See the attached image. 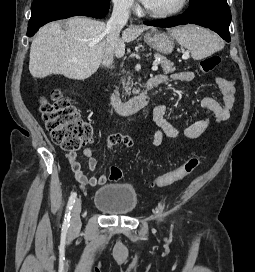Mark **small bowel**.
Returning <instances> with one entry per match:
<instances>
[{"label":"small bowel","instance_id":"1","mask_svg":"<svg viewBox=\"0 0 255 272\" xmlns=\"http://www.w3.org/2000/svg\"><path fill=\"white\" fill-rule=\"evenodd\" d=\"M159 84L166 81H178V82H190L194 79V73L192 71H180L167 74H157L154 76ZM216 84L219 87L222 94V103L211 97H205L201 100V105L205 109L209 110L212 114L213 119L217 122H223L230 117V113L235 103V86L232 80L225 79L223 77L216 78ZM168 107L166 105H158L153 109L152 119L157 125L158 129L154 133L152 144L158 147L162 144L164 138L173 139L179 135V131L167 120L166 115ZM211 118L205 117L195 121L183 130V135L190 139H196L200 137L211 124ZM107 147L112 149L116 145H123L126 148H131L133 140L130 136L123 135L120 133L111 134L107 138ZM83 155L88 158V168L93 171L97 166V161L93 157V150L90 147L83 149ZM67 157L75 174L76 180L82 185H104L108 181V177L103 174L98 177L88 178L83 172L81 163L78 160L77 153L75 151H69Z\"/></svg>","mask_w":255,"mask_h":272}]
</instances>
